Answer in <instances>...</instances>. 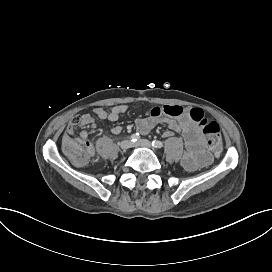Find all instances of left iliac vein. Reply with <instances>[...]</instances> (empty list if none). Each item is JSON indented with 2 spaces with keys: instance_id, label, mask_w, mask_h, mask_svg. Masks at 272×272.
<instances>
[{
  "instance_id": "1",
  "label": "left iliac vein",
  "mask_w": 272,
  "mask_h": 272,
  "mask_svg": "<svg viewBox=\"0 0 272 272\" xmlns=\"http://www.w3.org/2000/svg\"><path fill=\"white\" fill-rule=\"evenodd\" d=\"M133 146L152 148V143L146 139H141V140L137 141L136 143H133Z\"/></svg>"
}]
</instances>
